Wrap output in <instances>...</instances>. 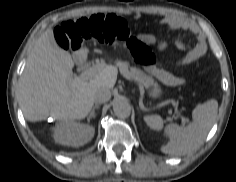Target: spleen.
<instances>
[{
	"instance_id": "1",
	"label": "spleen",
	"mask_w": 236,
	"mask_h": 182,
	"mask_svg": "<svg viewBox=\"0 0 236 182\" xmlns=\"http://www.w3.org/2000/svg\"><path fill=\"white\" fill-rule=\"evenodd\" d=\"M218 103L209 100L199 104L192 112L193 122L186 127L169 124L165 135L169 142L161 147V151L170 155H183L197 149L205 140L216 118ZM144 121L153 130L163 129V120L159 115L145 116Z\"/></svg>"
}]
</instances>
